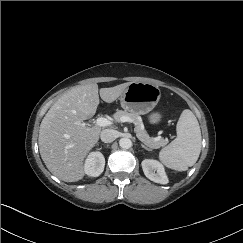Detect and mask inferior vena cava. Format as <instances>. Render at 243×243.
Wrapping results in <instances>:
<instances>
[{"label": "inferior vena cava", "instance_id": "602c4592", "mask_svg": "<svg viewBox=\"0 0 243 243\" xmlns=\"http://www.w3.org/2000/svg\"><path fill=\"white\" fill-rule=\"evenodd\" d=\"M100 138L104 143H111L116 139V131L112 129L102 130Z\"/></svg>", "mask_w": 243, "mask_h": 243}]
</instances>
